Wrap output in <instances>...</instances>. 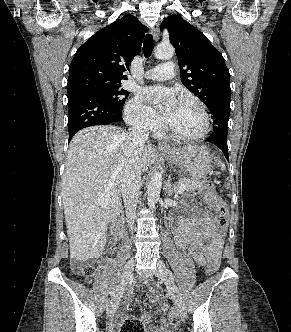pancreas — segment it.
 <instances>
[{
    "label": "pancreas",
    "mask_w": 291,
    "mask_h": 332,
    "mask_svg": "<svg viewBox=\"0 0 291 332\" xmlns=\"http://www.w3.org/2000/svg\"><path fill=\"white\" fill-rule=\"evenodd\" d=\"M206 183V179L201 178H193V179H187V178H181L177 184L174 186V192L178 193L180 185L185 184L186 188L185 190L187 192H194L196 190H200L204 184Z\"/></svg>",
    "instance_id": "pancreas-1"
}]
</instances>
